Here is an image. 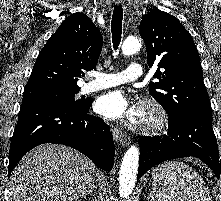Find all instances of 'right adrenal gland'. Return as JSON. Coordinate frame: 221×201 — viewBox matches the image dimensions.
I'll list each match as a JSON object with an SVG mask.
<instances>
[{
  "label": "right adrenal gland",
  "instance_id": "1",
  "mask_svg": "<svg viewBox=\"0 0 221 201\" xmlns=\"http://www.w3.org/2000/svg\"><path fill=\"white\" fill-rule=\"evenodd\" d=\"M95 188L94 183L91 185L90 189L88 192H90V194H93V189ZM87 195V193H85L84 195H82V198H85V196Z\"/></svg>",
  "mask_w": 221,
  "mask_h": 201
}]
</instances>
